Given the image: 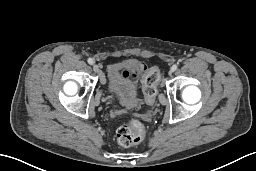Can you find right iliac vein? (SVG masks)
<instances>
[{
  "label": "right iliac vein",
  "mask_w": 256,
  "mask_h": 171,
  "mask_svg": "<svg viewBox=\"0 0 256 171\" xmlns=\"http://www.w3.org/2000/svg\"><path fill=\"white\" fill-rule=\"evenodd\" d=\"M93 70H94L95 73H99L100 72L99 66L97 64L93 65Z\"/></svg>",
  "instance_id": "63e3f726"
}]
</instances>
